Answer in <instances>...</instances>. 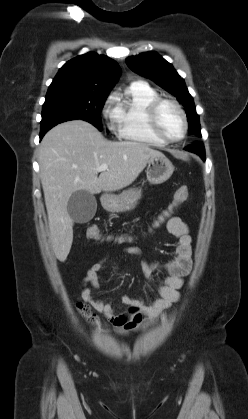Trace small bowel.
Wrapping results in <instances>:
<instances>
[{
	"instance_id": "small-bowel-1",
	"label": "small bowel",
	"mask_w": 248,
	"mask_h": 419,
	"mask_svg": "<svg viewBox=\"0 0 248 419\" xmlns=\"http://www.w3.org/2000/svg\"><path fill=\"white\" fill-rule=\"evenodd\" d=\"M166 227L169 233L177 238L173 257L158 265L150 264L146 261L141 263L142 270L147 277H150L156 270H161L165 273L164 278L155 284L159 297L153 302L148 303L142 298L125 295L122 297V304L127 309L118 313L110 302L95 299L89 285L95 289L100 288L99 274L104 268L106 258L95 262L83 279L81 292L83 299L89 302L98 313L111 321L117 328L119 335L130 331L145 330L158 318L164 309L176 303L180 298L179 289L183 286V278L190 272L192 267V239L189 235L188 226L178 216H168ZM87 238L94 240L88 232ZM121 241V239L118 240V242ZM122 251L127 255L142 256L141 249L136 246H127Z\"/></svg>"
}]
</instances>
